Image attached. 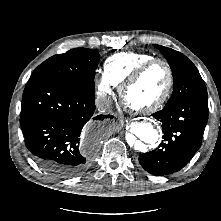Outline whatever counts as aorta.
<instances>
[{"mask_svg": "<svg viewBox=\"0 0 221 221\" xmlns=\"http://www.w3.org/2000/svg\"><path fill=\"white\" fill-rule=\"evenodd\" d=\"M132 133L139 140H135L132 134L127 136L128 144L134 147L135 150L144 152L146 145L144 143L153 144L158 140V131L149 122H137L132 126ZM144 142V143H143Z\"/></svg>", "mask_w": 221, "mask_h": 221, "instance_id": "obj_1", "label": "aorta"}]
</instances>
